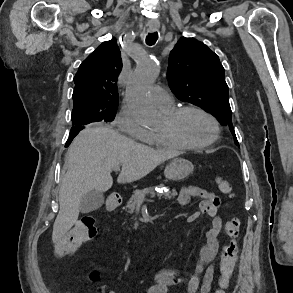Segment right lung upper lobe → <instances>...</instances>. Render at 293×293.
Instances as JSON below:
<instances>
[{"instance_id": "obj_1", "label": "right lung upper lobe", "mask_w": 293, "mask_h": 293, "mask_svg": "<svg viewBox=\"0 0 293 293\" xmlns=\"http://www.w3.org/2000/svg\"><path fill=\"white\" fill-rule=\"evenodd\" d=\"M115 40L103 42L79 66L74 77V108L106 111L117 108V78L122 69Z\"/></svg>"}]
</instances>
